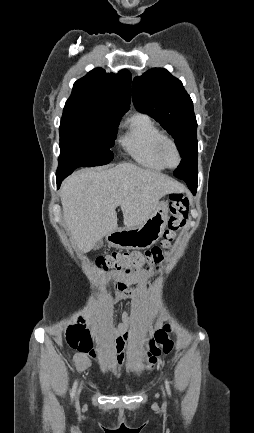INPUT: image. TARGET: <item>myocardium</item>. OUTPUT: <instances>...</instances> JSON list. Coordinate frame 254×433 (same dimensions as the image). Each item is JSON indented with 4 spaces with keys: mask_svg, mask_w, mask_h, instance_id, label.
I'll return each mask as SVG.
<instances>
[{
    "mask_svg": "<svg viewBox=\"0 0 254 433\" xmlns=\"http://www.w3.org/2000/svg\"><path fill=\"white\" fill-rule=\"evenodd\" d=\"M165 143H170L173 146V148L175 149V151H176V154H177V157H178V162H177V164L175 166H169L163 160V157H162V147L164 146ZM156 156L159 159V161L163 164V166L165 168H168V169L177 168L180 165L181 161H182L181 152H180V149H179L176 141L172 137L166 136V135H163L158 140V142L156 144Z\"/></svg>",
    "mask_w": 254,
    "mask_h": 433,
    "instance_id": "1",
    "label": "myocardium"
}]
</instances>
